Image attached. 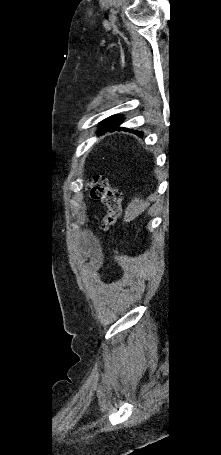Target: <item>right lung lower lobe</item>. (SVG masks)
I'll return each instance as SVG.
<instances>
[{"label": "right lung lower lobe", "mask_w": 221, "mask_h": 455, "mask_svg": "<svg viewBox=\"0 0 221 455\" xmlns=\"http://www.w3.org/2000/svg\"><path fill=\"white\" fill-rule=\"evenodd\" d=\"M109 129H110V131H112V130H115V129H120V128H118V125H116V124H115L114 126H112V127H111V128H109Z\"/></svg>", "instance_id": "1"}]
</instances>
